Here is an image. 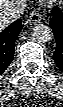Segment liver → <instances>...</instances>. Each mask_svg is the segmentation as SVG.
Listing matches in <instances>:
<instances>
[{
    "label": "liver",
    "mask_w": 63,
    "mask_h": 107,
    "mask_svg": "<svg viewBox=\"0 0 63 107\" xmlns=\"http://www.w3.org/2000/svg\"><path fill=\"white\" fill-rule=\"evenodd\" d=\"M15 1L17 0H0V28H5L8 26L12 21L6 18L1 17V8L4 6L5 8H10L15 5Z\"/></svg>",
    "instance_id": "1"
}]
</instances>
